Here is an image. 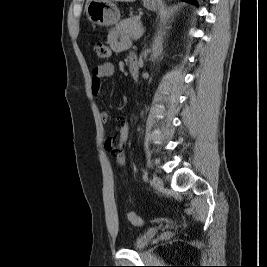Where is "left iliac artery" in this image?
Wrapping results in <instances>:
<instances>
[{
    "instance_id": "obj_1",
    "label": "left iliac artery",
    "mask_w": 267,
    "mask_h": 267,
    "mask_svg": "<svg viewBox=\"0 0 267 267\" xmlns=\"http://www.w3.org/2000/svg\"><path fill=\"white\" fill-rule=\"evenodd\" d=\"M143 180H144L145 182L148 181V173H147V172H144V174H143Z\"/></svg>"
}]
</instances>
